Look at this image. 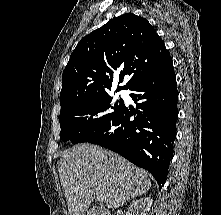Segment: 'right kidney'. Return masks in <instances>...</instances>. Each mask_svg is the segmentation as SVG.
Instances as JSON below:
<instances>
[{
    "label": "right kidney",
    "mask_w": 221,
    "mask_h": 215,
    "mask_svg": "<svg viewBox=\"0 0 221 215\" xmlns=\"http://www.w3.org/2000/svg\"><path fill=\"white\" fill-rule=\"evenodd\" d=\"M152 203L153 200L150 197L140 198L128 208L126 215H147Z\"/></svg>",
    "instance_id": "ca27d5eb"
}]
</instances>
